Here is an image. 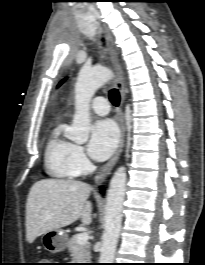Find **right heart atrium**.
Returning a JSON list of instances; mask_svg holds the SVG:
<instances>
[{"instance_id": "obj_1", "label": "right heart atrium", "mask_w": 205, "mask_h": 265, "mask_svg": "<svg viewBox=\"0 0 205 265\" xmlns=\"http://www.w3.org/2000/svg\"><path fill=\"white\" fill-rule=\"evenodd\" d=\"M72 163L78 174L85 173L90 166V162L85 155L83 148L79 145L74 146L72 152Z\"/></svg>"}]
</instances>
